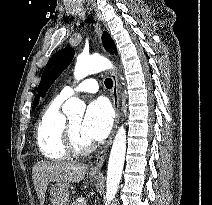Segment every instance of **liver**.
I'll return each instance as SVG.
<instances>
[{
    "label": "liver",
    "mask_w": 212,
    "mask_h": 205,
    "mask_svg": "<svg viewBox=\"0 0 212 205\" xmlns=\"http://www.w3.org/2000/svg\"><path fill=\"white\" fill-rule=\"evenodd\" d=\"M87 169L86 165L80 163L38 162L33 167V181L41 205L50 182L79 183Z\"/></svg>",
    "instance_id": "liver-1"
}]
</instances>
